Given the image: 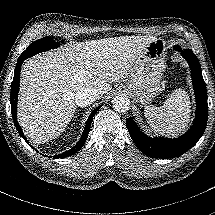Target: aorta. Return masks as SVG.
I'll return each instance as SVG.
<instances>
[{
    "label": "aorta",
    "instance_id": "1",
    "mask_svg": "<svg viewBox=\"0 0 215 215\" xmlns=\"http://www.w3.org/2000/svg\"><path fill=\"white\" fill-rule=\"evenodd\" d=\"M115 111L125 112L130 109V99L125 95H116L112 100Z\"/></svg>",
    "mask_w": 215,
    "mask_h": 215
}]
</instances>
